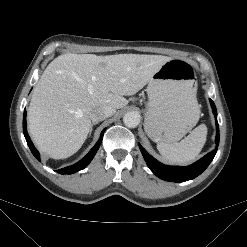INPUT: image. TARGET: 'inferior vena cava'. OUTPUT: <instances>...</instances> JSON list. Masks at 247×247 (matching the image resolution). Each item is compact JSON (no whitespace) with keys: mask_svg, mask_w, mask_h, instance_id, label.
<instances>
[{"mask_svg":"<svg viewBox=\"0 0 247 247\" xmlns=\"http://www.w3.org/2000/svg\"><path fill=\"white\" fill-rule=\"evenodd\" d=\"M116 110L110 106L97 107L90 112V118L94 123L104 120L115 114Z\"/></svg>","mask_w":247,"mask_h":247,"instance_id":"inferior-vena-cava-1","label":"inferior vena cava"}]
</instances>
